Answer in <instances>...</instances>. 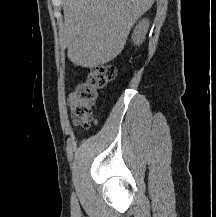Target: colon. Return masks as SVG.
<instances>
[{"label": "colon", "instance_id": "1", "mask_svg": "<svg viewBox=\"0 0 216 217\" xmlns=\"http://www.w3.org/2000/svg\"><path fill=\"white\" fill-rule=\"evenodd\" d=\"M116 76V69L111 64L92 67L87 79L79 83L71 94L72 121L76 126L87 128L92 120L93 107L98 92L105 88Z\"/></svg>", "mask_w": 216, "mask_h": 217}]
</instances>
